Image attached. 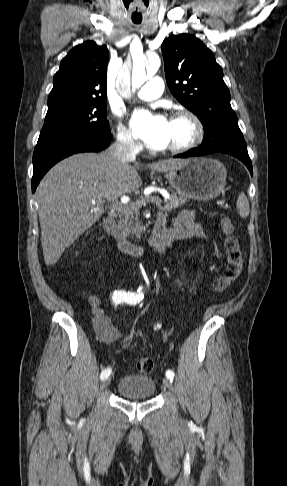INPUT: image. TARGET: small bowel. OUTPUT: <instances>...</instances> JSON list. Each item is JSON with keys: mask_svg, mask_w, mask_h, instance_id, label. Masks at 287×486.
<instances>
[{"mask_svg": "<svg viewBox=\"0 0 287 486\" xmlns=\"http://www.w3.org/2000/svg\"><path fill=\"white\" fill-rule=\"evenodd\" d=\"M172 223V228L166 232L163 242L158 248L161 254H164L167 249L174 247L178 241L204 237L201 224L196 220L192 210L181 211L172 219ZM88 303L93 315V326L98 339L105 343L117 341L119 332L113 326L110 318L105 315L100 298L94 294H89Z\"/></svg>", "mask_w": 287, "mask_h": 486, "instance_id": "c3829d8e", "label": "small bowel"}]
</instances>
